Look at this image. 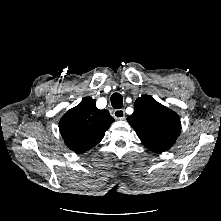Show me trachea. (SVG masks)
Returning a JSON list of instances; mask_svg holds the SVG:
<instances>
[{
    "mask_svg": "<svg viewBox=\"0 0 221 221\" xmlns=\"http://www.w3.org/2000/svg\"><path fill=\"white\" fill-rule=\"evenodd\" d=\"M111 105L113 108H116V109H121L122 106H123V97L121 96V94L119 93H113L111 95Z\"/></svg>",
    "mask_w": 221,
    "mask_h": 221,
    "instance_id": "trachea-1",
    "label": "trachea"
}]
</instances>
